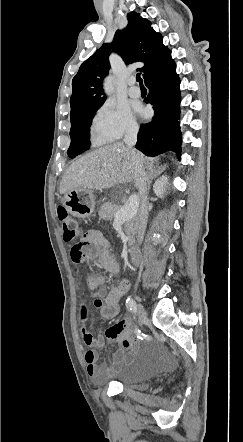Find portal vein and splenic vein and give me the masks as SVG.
<instances>
[{
    "mask_svg": "<svg viewBox=\"0 0 243 442\" xmlns=\"http://www.w3.org/2000/svg\"><path fill=\"white\" fill-rule=\"evenodd\" d=\"M137 209V203L134 197H131L129 201L114 214V221L121 222L126 221L134 216Z\"/></svg>",
    "mask_w": 243,
    "mask_h": 442,
    "instance_id": "obj_1",
    "label": "portal vein and splenic vein"
}]
</instances>
